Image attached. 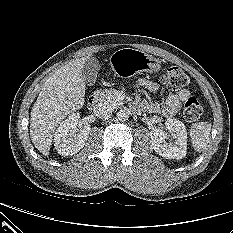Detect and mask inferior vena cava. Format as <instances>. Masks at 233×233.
<instances>
[{
    "label": "inferior vena cava",
    "mask_w": 233,
    "mask_h": 233,
    "mask_svg": "<svg viewBox=\"0 0 233 233\" xmlns=\"http://www.w3.org/2000/svg\"><path fill=\"white\" fill-rule=\"evenodd\" d=\"M93 112L96 117L101 118V119H106L112 115L113 108L110 105L99 103L94 108Z\"/></svg>",
    "instance_id": "obj_1"
}]
</instances>
